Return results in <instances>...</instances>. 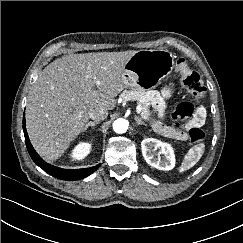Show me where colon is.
Wrapping results in <instances>:
<instances>
[{"label": "colon", "mask_w": 243, "mask_h": 243, "mask_svg": "<svg viewBox=\"0 0 243 243\" xmlns=\"http://www.w3.org/2000/svg\"><path fill=\"white\" fill-rule=\"evenodd\" d=\"M176 70L181 75V82L184 88L189 91L196 100L203 99L207 89L200 74L191 69L187 61L183 58L177 60ZM194 116V106L189 102L179 103L171 114V118L176 124H178L179 121L189 120ZM204 136V132L198 127H191L188 129L187 137L191 142H200L204 139Z\"/></svg>", "instance_id": "5ec220e1"}]
</instances>
